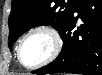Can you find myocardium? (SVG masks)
I'll use <instances>...</instances> for the list:
<instances>
[{"instance_id": "myocardium-1", "label": "myocardium", "mask_w": 102, "mask_h": 75, "mask_svg": "<svg viewBox=\"0 0 102 75\" xmlns=\"http://www.w3.org/2000/svg\"><path fill=\"white\" fill-rule=\"evenodd\" d=\"M36 32L47 33L53 41V49H52L51 53L45 59H43L41 62H39L38 64L27 65L22 60V46H23L24 41L30 35H32ZM62 47H63V39H62L61 34L59 33V31L56 28H54L53 26H50V25H39V26H36V27L30 29L27 33H25L22 36V38L20 39V41L18 43L17 56H18L19 62H21L27 68H36V67L48 64L51 61H53L59 55V53L61 52Z\"/></svg>"}]
</instances>
